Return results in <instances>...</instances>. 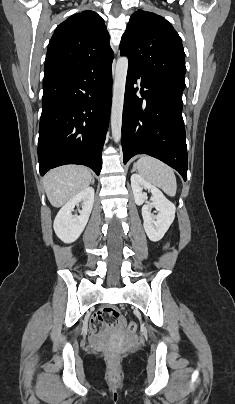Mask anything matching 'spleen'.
<instances>
[{"mask_svg": "<svg viewBox=\"0 0 235 404\" xmlns=\"http://www.w3.org/2000/svg\"><path fill=\"white\" fill-rule=\"evenodd\" d=\"M140 175L167 195H176L177 183L173 170L160 160L144 155L134 164Z\"/></svg>", "mask_w": 235, "mask_h": 404, "instance_id": "3e777b00", "label": "spleen"}]
</instances>
